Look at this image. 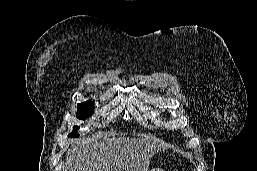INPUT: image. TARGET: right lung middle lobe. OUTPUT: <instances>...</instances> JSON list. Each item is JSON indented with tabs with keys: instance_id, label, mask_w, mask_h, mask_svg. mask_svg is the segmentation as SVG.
<instances>
[{
	"instance_id": "dd1d6c3e",
	"label": "right lung middle lobe",
	"mask_w": 257,
	"mask_h": 171,
	"mask_svg": "<svg viewBox=\"0 0 257 171\" xmlns=\"http://www.w3.org/2000/svg\"><path fill=\"white\" fill-rule=\"evenodd\" d=\"M94 112V103L92 101H87L83 103H79L77 105V113L76 117L78 119L85 120L87 117H89ZM78 126H74V130H78ZM68 136H78L77 133L74 131L70 133Z\"/></svg>"
}]
</instances>
